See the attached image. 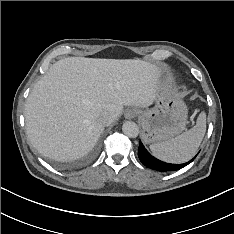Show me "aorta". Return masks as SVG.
<instances>
[{
    "mask_svg": "<svg viewBox=\"0 0 234 234\" xmlns=\"http://www.w3.org/2000/svg\"><path fill=\"white\" fill-rule=\"evenodd\" d=\"M123 133L131 138H135L139 134L138 125L133 121H126L122 126Z\"/></svg>",
    "mask_w": 234,
    "mask_h": 234,
    "instance_id": "762f6f07",
    "label": "aorta"
}]
</instances>
